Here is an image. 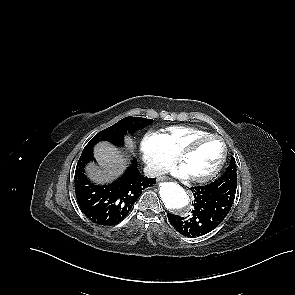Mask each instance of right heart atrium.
<instances>
[{
    "label": "right heart atrium",
    "instance_id": "obj_1",
    "mask_svg": "<svg viewBox=\"0 0 295 295\" xmlns=\"http://www.w3.org/2000/svg\"><path fill=\"white\" fill-rule=\"evenodd\" d=\"M140 151L148 171L153 176H159L175 161V156L164 147L158 133L146 134L142 139Z\"/></svg>",
    "mask_w": 295,
    "mask_h": 295
}]
</instances>
